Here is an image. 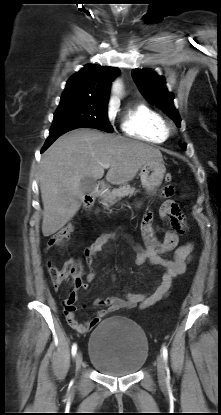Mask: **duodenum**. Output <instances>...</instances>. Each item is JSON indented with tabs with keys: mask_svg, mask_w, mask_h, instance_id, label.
Wrapping results in <instances>:
<instances>
[{
	"mask_svg": "<svg viewBox=\"0 0 221 415\" xmlns=\"http://www.w3.org/2000/svg\"><path fill=\"white\" fill-rule=\"evenodd\" d=\"M103 191H104V185L102 183H99L96 185L93 191L88 196H86L85 201H84V207L88 213H90V211L93 208L95 200L101 196Z\"/></svg>",
	"mask_w": 221,
	"mask_h": 415,
	"instance_id": "duodenum-1",
	"label": "duodenum"
}]
</instances>
